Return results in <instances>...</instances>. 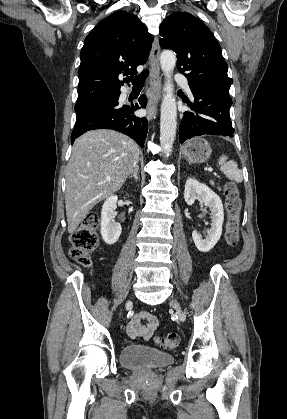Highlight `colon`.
Returning <instances> with one entry per match:
<instances>
[{"instance_id":"1","label":"colon","mask_w":287,"mask_h":419,"mask_svg":"<svg viewBox=\"0 0 287 419\" xmlns=\"http://www.w3.org/2000/svg\"><path fill=\"white\" fill-rule=\"evenodd\" d=\"M225 207L227 210V224L225 239L229 246L236 247L239 242L240 211L242 201L237 187L233 183H226L224 187ZM99 215L97 212L89 213L71 235L70 256L80 265L91 264L90 254L95 251L99 244L97 228ZM156 343L163 349H174L179 344V337L170 333L157 338Z\"/></svg>"}]
</instances>
